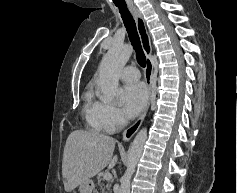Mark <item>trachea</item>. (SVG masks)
Wrapping results in <instances>:
<instances>
[{
  "instance_id": "obj_1",
  "label": "trachea",
  "mask_w": 237,
  "mask_h": 193,
  "mask_svg": "<svg viewBox=\"0 0 237 193\" xmlns=\"http://www.w3.org/2000/svg\"><path fill=\"white\" fill-rule=\"evenodd\" d=\"M121 18L126 27L129 39L136 51L137 61L141 67L146 66V57L141 47L140 38L136 29L135 21L126 6H118Z\"/></svg>"
}]
</instances>
